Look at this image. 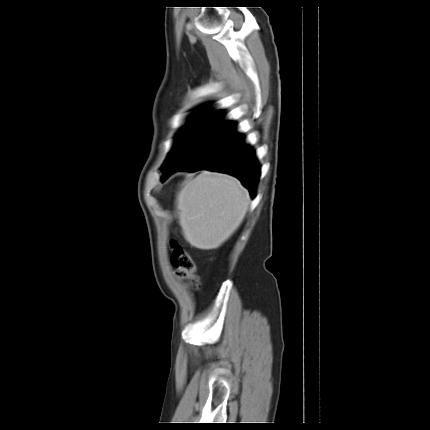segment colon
<instances>
[{
    "label": "colon",
    "instance_id": "colon-1",
    "mask_svg": "<svg viewBox=\"0 0 430 430\" xmlns=\"http://www.w3.org/2000/svg\"><path fill=\"white\" fill-rule=\"evenodd\" d=\"M171 263L175 268V274L180 280H186L197 289L200 286L196 275L195 263L191 255L176 242H171Z\"/></svg>",
    "mask_w": 430,
    "mask_h": 430
}]
</instances>
